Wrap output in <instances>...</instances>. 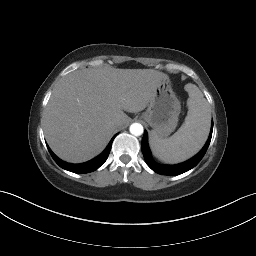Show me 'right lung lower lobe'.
I'll list each match as a JSON object with an SVG mask.
<instances>
[{
    "mask_svg": "<svg viewBox=\"0 0 256 256\" xmlns=\"http://www.w3.org/2000/svg\"><path fill=\"white\" fill-rule=\"evenodd\" d=\"M116 136V135H115ZM115 136L111 139V141L109 142L108 146L106 147V149L103 151L102 154H100L98 157L82 163V164H71V163H67L62 161L61 159H59L52 151L51 149L48 147L49 153L52 156V158L54 159V161L63 169L74 172V173H89L92 172L96 169H98L101 165L104 164V162L107 160L110 150H111V146H112V142L115 138Z\"/></svg>",
    "mask_w": 256,
    "mask_h": 256,
    "instance_id": "1",
    "label": "right lung lower lobe"
}]
</instances>
